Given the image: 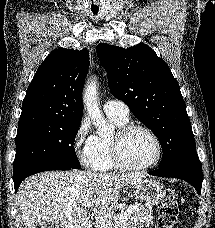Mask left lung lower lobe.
Masks as SVG:
<instances>
[{"label":"left lung lower lobe","mask_w":215,"mask_h":228,"mask_svg":"<svg viewBox=\"0 0 215 228\" xmlns=\"http://www.w3.org/2000/svg\"><path fill=\"white\" fill-rule=\"evenodd\" d=\"M148 174L185 180L195 187L198 194L201 193L202 167L196 151L186 153L158 170L148 172Z\"/></svg>","instance_id":"0a47b994"}]
</instances>
